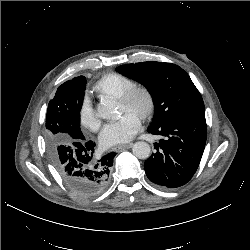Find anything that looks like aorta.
<instances>
[{"label":"aorta","mask_w":250,"mask_h":250,"mask_svg":"<svg viewBox=\"0 0 250 250\" xmlns=\"http://www.w3.org/2000/svg\"><path fill=\"white\" fill-rule=\"evenodd\" d=\"M117 112V104L113 99L104 98L98 105V115L101 118L114 117ZM132 152L139 159H147L150 156L151 148L148 143L139 141L133 145Z\"/></svg>","instance_id":"obj_1"}]
</instances>
